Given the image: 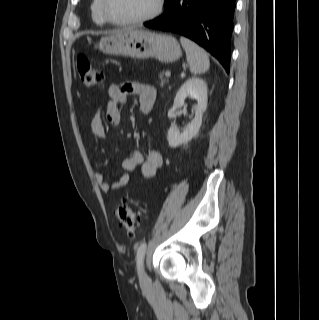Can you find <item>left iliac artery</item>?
<instances>
[{
    "instance_id": "44dca946",
    "label": "left iliac artery",
    "mask_w": 319,
    "mask_h": 320,
    "mask_svg": "<svg viewBox=\"0 0 319 320\" xmlns=\"http://www.w3.org/2000/svg\"><path fill=\"white\" fill-rule=\"evenodd\" d=\"M147 244L146 242H143L140 244V246L137 249V266L138 269L142 266L143 259L146 253Z\"/></svg>"
}]
</instances>
